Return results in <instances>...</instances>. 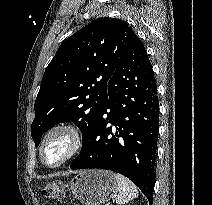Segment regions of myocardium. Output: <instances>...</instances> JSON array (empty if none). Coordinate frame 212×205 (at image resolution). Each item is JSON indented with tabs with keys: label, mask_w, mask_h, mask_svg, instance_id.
Listing matches in <instances>:
<instances>
[{
	"label": "myocardium",
	"mask_w": 212,
	"mask_h": 205,
	"mask_svg": "<svg viewBox=\"0 0 212 205\" xmlns=\"http://www.w3.org/2000/svg\"><path fill=\"white\" fill-rule=\"evenodd\" d=\"M57 136L64 137L67 140V150L65 154L56 162L50 163L45 158V149L48 143ZM83 144V137L80 129L72 124V123H59L51 127L43 136L40 148H39V155L40 159L43 164L49 166V167H57L64 163H66L68 160H70L72 157H74L78 151L81 149Z\"/></svg>",
	"instance_id": "obj_1"
}]
</instances>
